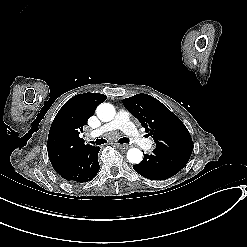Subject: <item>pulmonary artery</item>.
<instances>
[{"label":"pulmonary artery","instance_id":"1","mask_svg":"<svg viewBox=\"0 0 247 247\" xmlns=\"http://www.w3.org/2000/svg\"><path fill=\"white\" fill-rule=\"evenodd\" d=\"M119 129L130 137L134 142L140 144L145 150H153L156 148V144L151 139H142V132L131 120V114L128 110L120 108L116 112L115 118L103 125L98 133H103L108 130Z\"/></svg>","mask_w":247,"mask_h":247}]
</instances>
